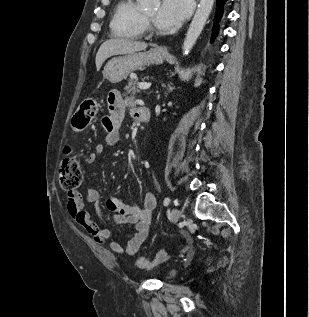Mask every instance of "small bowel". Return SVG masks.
I'll return each instance as SVG.
<instances>
[{
    "instance_id": "obj_1",
    "label": "small bowel",
    "mask_w": 309,
    "mask_h": 317,
    "mask_svg": "<svg viewBox=\"0 0 309 317\" xmlns=\"http://www.w3.org/2000/svg\"><path fill=\"white\" fill-rule=\"evenodd\" d=\"M109 114L102 118V126L105 131L103 143L96 145L88 156V163H95L107 147H114L120 141L119 128L124 118L125 109L131 107L132 115L138 120L139 107L133 99H123L119 91L112 90L108 94ZM100 193L98 189L90 187L82 194L71 191L67 194V211L72 219L88 232L99 245L108 246L117 254L127 253L133 255L137 252L148 234L151 223L152 212L156 206V199L151 192H144L141 206L129 205L117 198H111L107 202V208L114 213L113 221L117 224H133L134 231L128 234L126 246L113 239L111 232L107 229V218L101 208L97 213L99 222L91 219L89 212L85 209V203H98Z\"/></svg>"
}]
</instances>
